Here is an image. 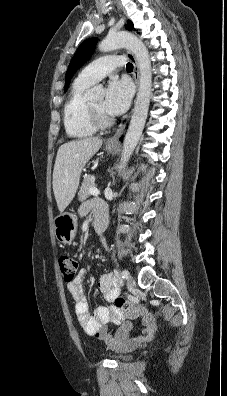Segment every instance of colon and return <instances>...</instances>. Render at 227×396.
<instances>
[{"label": "colon", "instance_id": "obj_1", "mask_svg": "<svg viewBox=\"0 0 227 396\" xmlns=\"http://www.w3.org/2000/svg\"><path fill=\"white\" fill-rule=\"evenodd\" d=\"M59 266L64 281L67 283L72 282L76 276V271L78 267L76 260L69 256H62L59 259ZM126 303L127 301L124 298H119L116 300V305L118 307H124Z\"/></svg>", "mask_w": 227, "mask_h": 396}]
</instances>
